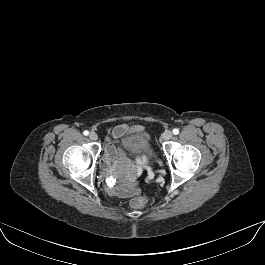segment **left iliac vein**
Returning <instances> with one entry per match:
<instances>
[{
    "instance_id": "obj_1",
    "label": "left iliac vein",
    "mask_w": 265,
    "mask_h": 265,
    "mask_svg": "<svg viewBox=\"0 0 265 265\" xmlns=\"http://www.w3.org/2000/svg\"><path fill=\"white\" fill-rule=\"evenodd\" d=\"M173 136V133L170 130H166L163 134H162V138L164 140H170Z\"/></svg>"
}]
</instances>
